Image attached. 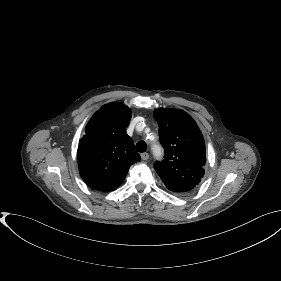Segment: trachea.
Instances as JSON below:
<instances>
[{
    "label": "trachea",
    "instance_id": "1",
    "mask_svg": "<svg viewBox=\"0 0 281 281\" xmlns=\"http://www.w3.org/2000/svg\"><path fill=\"white\" fill-rule=\"evenodd\" d=\"M136 150L138 152H145L147 150V144L144 141L137 142Z\"/></svg>",
    "mask_w": 281,
    "mask_h": 281
}]
</instances>
